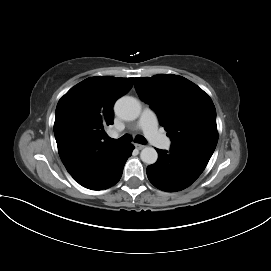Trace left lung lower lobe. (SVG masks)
<instances>
[{
    "label": "left lung lower lobe",
    "mask_w": 271,
    "mask_h": 271,
    "mask_svg": "<svg viewBox=\"0 0 271 271\" xmlns=\"http://www.w3.org/2000/svg\"><path fill=\"white\" fill-rule=\"evenodd\" d=\"M156 150L158 160L147 167V176L155 187L167 192L180 191L190 186L209 161L187 152Z\"/></svg>",
    "instance_id": "1"
}]
</instances>
